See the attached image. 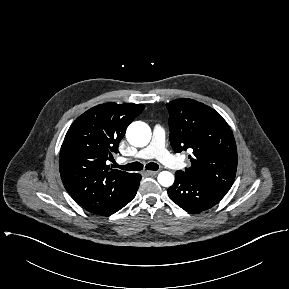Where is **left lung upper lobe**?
Instances as JSON below:
<instances>
[{
  "mask_svg": "<svg viewBox=\"0 0 289 289\" xmlns=\"http://www.w3.org/2000/svg\"><path fill=\"white\" fill-rule=\"evenodd\" d=\"M166 106L172 148L193 150L191 167L184 173L229 190L236 175L237 148L227 122L216 110L193 99H176Z\"/></svg>",
  "mask_w": 289,
  "mask_h": 289,
  "instance_id": "left-lung-upper-lobe-1",
  "label": "left lung upper lobe"
}]
</instances>
